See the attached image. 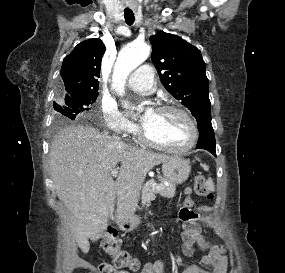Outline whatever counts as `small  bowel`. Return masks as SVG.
<instances>
[{"instance_id": "1", "label": "small bowel", "mask_w": 285, "mask_h": 273, "mask_svg": "<svg viewBox=\"0 0 285 273\" xmlns=\"http://www.w3.org/2000/svg\"><path fill=\"white\" fill-rule=\"evenodd\" d=\"M196 243L201 249L209 250V253L203 258L202 262L205 266L213 269L212 273H227L228 258L225 248L222 245L211 244L201 233H199ZM141 273H166V264L161 260L148 263L143 267ZM183 273L208 272L201 269L197 264L191 263L184 269Z\"/></svg>"}]
</instances>
